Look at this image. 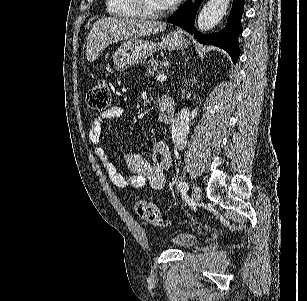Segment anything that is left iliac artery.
<instances>
[{
    "mask_svg": "<svg viewBox=\"0 0 307 301\" xmlns=\"http://www.w3.org/2000/svg\"><path fill=\"white\" fill-rule=\"evenodd\" d=\"M178 189L180 191H186L188 190V184L185 182V181H181L179 184H178Z\"/></svg>",
    "mask_w": 307,
    "mask_h": 301,
    "instance_id": "44dca946",
    "label": "left iliac artery"
}]
</instances>
